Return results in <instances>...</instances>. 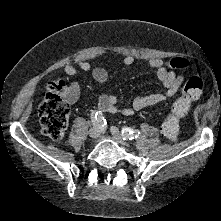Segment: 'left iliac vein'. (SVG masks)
<instances>
[{"label": "left iliac vein", "mask_w": 221, "mask_h": 221, "mask_svg": "<svg viewBox=\"0 0 221 221\" xmlns=\"http://www.w3.org/2000/svg\"><path fill=\"white\" fill-rule=\"evenodd\" d=\"M110 131H111L112 135L114 136V138L117 139L121 145H126V141L123 139V136L121 135V133L117 127L111 126Z\"/></svg>", "instance_id": "4c4485c4"}]
</instances>
